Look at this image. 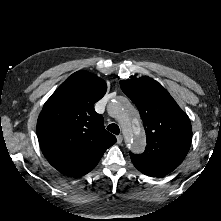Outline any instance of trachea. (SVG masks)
<instances>
[{"instance_id":"1","label":"trachea","mask_w":221,"mask_h":221,"mask_svg":"<svg viewBox=\"0 0 221 221\" xmlns=\"http://www.w3.org/2000/svg\"><path fill=\"white\" fill-rule=\"evenodd\" d=\"M107 130L112 132L113 134L118 135L120 133L119 126L115 123L109 124Z\"/></svg>"}]
</instances>
